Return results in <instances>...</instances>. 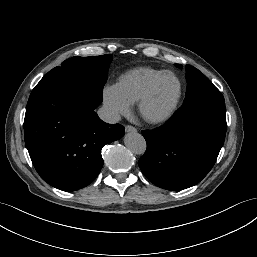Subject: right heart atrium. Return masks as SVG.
Returning <instances> with one entry per match:
<instances>
[{
    "mask_svg": "<svg viewBox=\"0 0 257 257\" xmlns=\"http://www.w3.org/2000/svg\"><path fill=\"white\" fill-rule=\"evenodd\" d=\"M103 103L112 118L128 115L131 110V105L119 95L114 87H106L103 90Z\"/></svg>",
    "mask_w": 257,
    "mask_h": 257,
    "instance_id": "d8ad5b80",
    "label": "right heart atrium"
}]
</instances>
